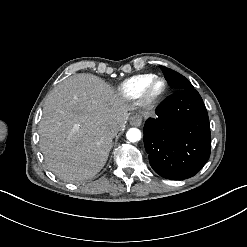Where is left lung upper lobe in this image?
I'll return each mask as SVG.
<instances>
[{"instance_id":"5c2ea615","label":"left lung upper lobe","mask_w":247,"mask_h":247,"mask_svg":"<svg viewBox=\"0 0 247 247\" xmlns=\"http://www.w3.org/2000/svg\"><path fill=\"white\" fill-rule=\"evenodd\" d=\"M160 68L162 69L169 85L176 91L184 89H194L189 80L183 75L164 66H160Z\"/></svg>"}]
</instances>
